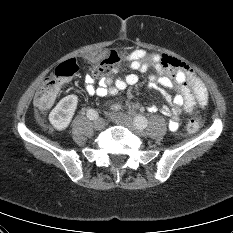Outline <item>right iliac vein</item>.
Wrapping results in <instances>:
<instances>
[{
	"label": "right iliac vein",
	"mask_w": 233,
	"mask_h": 233,
	"mask_svg": "<svg viewBox=\"0 0 233 233\" xmlns=\"http://www.w3.org/2000/svg\"><path fill=\"white\" fill-rule=\"evenodd\" d=\"M105 126V122L102 118L95 119L94 121V128L96 130H102Z\"/></svg>",
	"instance_id": "right-iliac-vein-1"
}]
</instances>
